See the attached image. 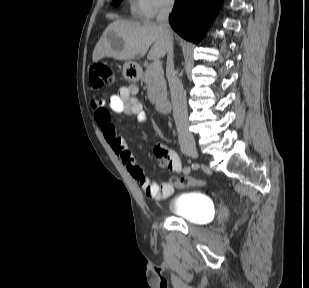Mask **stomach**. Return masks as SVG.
Returning a JSON list of instances; mask_svg holds the SVG:
<instances>
[{"mask_svg": "<svg viewBox=\"0 0 309 288\" xmlns=\"http://www.w3.org/2000/svg\"><path fill=\"white\" fill-rule=\"evenodd\" d=\"M123 76L130 82H137L141 78V68L135 62L128 60L123 65Z\"/></svg>", "mask_w": 309, "mask_h": 288, "instance_id": "stomach-1", "label": "stomach"}]
</instances>
